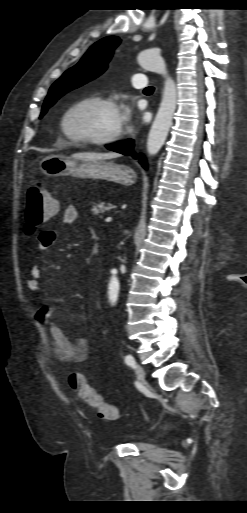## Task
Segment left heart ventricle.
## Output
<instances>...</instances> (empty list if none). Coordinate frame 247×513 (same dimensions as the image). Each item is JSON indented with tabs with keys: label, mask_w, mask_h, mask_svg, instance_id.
I'll list each match as a JSON object with an SVG mask.
<instances>
[{
	"label": "left heart ventricle",
	"mask_w": 247,
	"mask_h": 513,
	"mask_svg": "<svg viewBox=\"0 0 247 513\" xmlns=\"http://www.w3.org/2000/svg\"><path fill=\"white\" fill-rule=\"evenodd\" d=\"M118 110L102 104H85L69 116L67 127L76 135L102 137L113 133L120 126Z\"/></svg>",
	"instance_id": "1"
}]
</instances>
